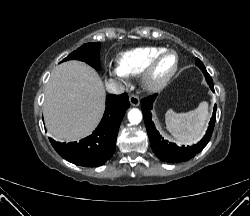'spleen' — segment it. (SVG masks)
Wrapping results in <instances>:
<instances>
[{
  "label": "spleen",
  "instance_id": "spleen-1",
  "mask_svg": "<svg viewBox=\"0 0 250 216\" xmlns=\"http://www.w3.org/2000/svg\"><path fill=\"white\" fill-rule=\"evenodd\" d=\"M165 119L166 128L174 138L185 144L196 143L207 126L208 103L201 102L195 110L186 113H176L171 109L166 112Z\"/></svg>",
  "mask_w": 250,
  "mask_h": 216
}]
</instances>
